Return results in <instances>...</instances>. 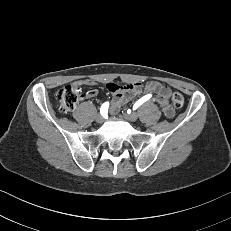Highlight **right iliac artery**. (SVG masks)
Masks as SVG:
<instances>
[{"mask_svg":"<svg viewBox=\"0 0 231 231\" xmlns=\"http://www.w3.org/2000/svg\"><path fill=\"white\" fill-rule=\"evenodd\" d=\"M108 107H109V103L108 102H105L101 108H100V113L102 116H106L107 115V112H108Z\"/></svg>","mask_w":231,"mask_h":231,"instance_id":"82829eb1","label":"right iliac artery"}]
</instances>
